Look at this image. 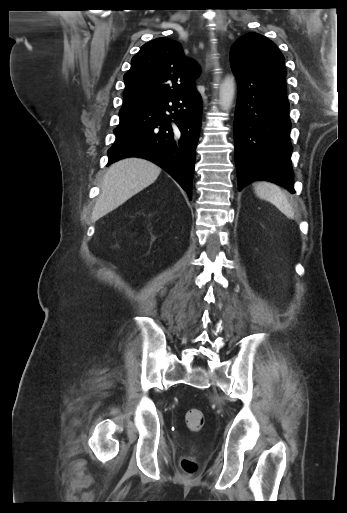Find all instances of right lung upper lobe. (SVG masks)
<instances>
[{
    "label": "right lung upper lobe",
    "instance_id": "obj_1",
    "mask_svg": "<svg viewBox=\"0 0 347 513\" xmlns=\"http://www.w3.org/2000/svg\"><path fill=\"white\" fill-rule=\"evenodd\" d=\"M199 72L197 64L184 56L177 41L154 39L141 47L124 75L126 89L121 110L196 90L193 81Z\"/></svg>",
    "mask_w": 347,
    "mask_h": 513
}]
</instances>
